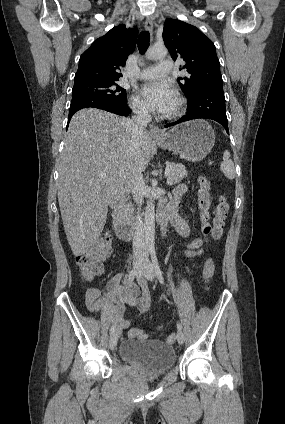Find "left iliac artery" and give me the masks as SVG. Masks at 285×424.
Masks as SVG:
<instances>
[{"mask_svg": "<svg viewBox=\"0 0 285 424\" xmlns=\"http://www.w3.org/2000/svg\"><path fill=\"white\" fill-rule=\"evenodd\" d=\"M150 254H151V259H152V262H153V266H154V269H155L156 276H157L158 280L160 281V283L164 284V279H163L162 272H161L160 267H159V263H158V260H157V257H156L155 249H153V248L150 249ZM177 329L182 331V325L179 322L177 323Z\"/></svg>", "mask_w": 285, "mask_h": 424, "instance_id": "44dca946", "label": "left iliac artery"}]
</instances>
